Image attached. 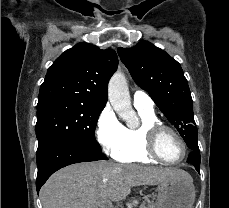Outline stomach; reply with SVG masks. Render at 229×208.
Instances as JSON below:
<instances>
[{"label": "stomach", "instance_id": "1", "mask_svg": "<svg viewBox=\"0 0 229 208\" xmlns=\"http://www.w3.org/2000/svg\"><path fill=\"white\" fill-rule=\"evenodd\" d=\"M157 208H192L195 202L193 180H165L157 188Z\"/></svg>", "mask_w": 229, "mask_h": 208}]
</instances>
